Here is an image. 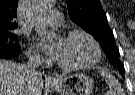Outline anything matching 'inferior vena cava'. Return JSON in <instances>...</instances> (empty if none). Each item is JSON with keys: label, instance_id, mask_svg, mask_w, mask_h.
Wrapping results in <instances>:
<instances>
[{"label": "inferior vena cava", "instance_id": "602c4592", "mask_svg": "<svg viewBox=\"0 0 135 95\" xmlns=\"http://www.w3.org/2000/svg\"><path fill=\"white\" fill-rule=\"evenodd\" d=\"M41 65V59L40 56L37 54H29L28 56V62L27 64L24 66V69L26 71V73L30 76L36 75L37 72V68Z\"/></svg>", "mask_w": 135, "mask_h": 95}]
</instances>
